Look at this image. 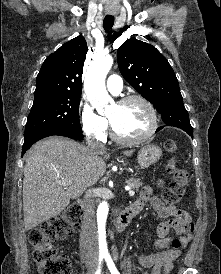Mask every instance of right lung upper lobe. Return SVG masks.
I'll list each match as a JSON object with an SVG mask.
<instances>
[{
	"label": "right lung upper lobe",
	"mask_w": 221,
	"mask_h": 274,
	"mask_svg": "<svg viewBox=\"0 0 221 274\" xmlns=\"http://www.w3.org/2000/svg\"><path fill=\"white\" fill-rule=\"evenodd\" d=\"M86 53V40L80 35L50 54L37 75L34 99L81 95V77Z\"/></svg>",
	"instance_id": "cb5924a9"
}]
</instances>
